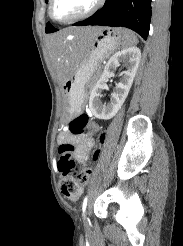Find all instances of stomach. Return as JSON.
<instances>
[{
    "label": "stomach",
    "mask_w": 183,
    "mask_h": 246,
    "mask_svg": "<svg viewBox=\"0 0 183 246\" xmlns=\"http://www.w3.org/2000/svg\"><path fill=\"white\" fill-rule=\"evenodd\" d=\"M124 42L123 30L119 28H102L91 40L82 44L78 61L72 76L63 84L65 106L69 118L81 112L87 90V83L92 77L98 63L110 55ZM74 46L77 42H65Z\"/></svg>",
    "instance_id": "0dacf381"
}]
</instances>
